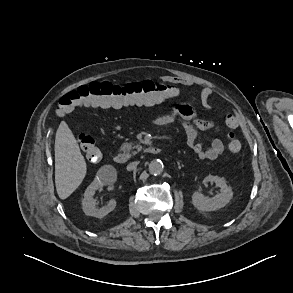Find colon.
<instances>
[{"label": "colon", "instance_id": "1", "mask_svg": "<svg viewBox=\"0 0 293 293\" xmlns=\"http://www.w3.org/2000/svg\"><path fill=\"white\" fill-rule=\"evenodd\" d=\"M177 95L176 87L151 80L124 85L94 81L62 96L56 107V114L62 116L86 106L119 108L142 101H162ZM238 126V118L229 114L226 117V127L229 130L227 149L232 154H238L241 150V144L232 132ZM78 143L88 161L96 163L101 159V151L92 136L80 133Z\"/></svg>", "mask_w": 293, "mask_h": 293}]
</instances>
